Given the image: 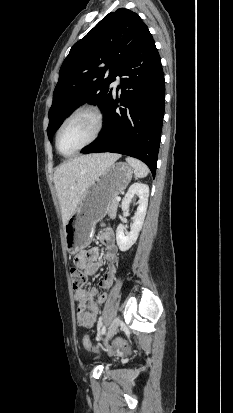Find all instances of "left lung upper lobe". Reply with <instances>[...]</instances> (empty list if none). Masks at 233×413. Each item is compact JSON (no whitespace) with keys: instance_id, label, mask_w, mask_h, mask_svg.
<instances>
[{"instance_id":"1","label":"left lung upper lobe","mask_w":233,"mask_h":413,"mask_svg":"<svg viewBox=\"0 0 233 413\" xmlns=\"http://www.w3.org/2000/svg\"><path fill=\"white\" fill-rule=\"evenodd\" d=\"M147 31L138 14L120 8L107 14L72 46L60 68L49 110V140L78 105L89 102L98 104L103 111L107 109L114 94L109 84L115 81Z\"/></svg>"}]
</instances>
